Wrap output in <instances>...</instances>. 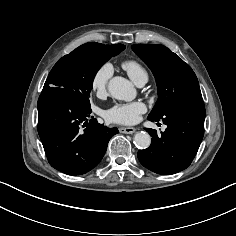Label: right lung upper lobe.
Listing matches in <instances>:
<instances>
[{
  "mask_svg": "<svg viewBox=\"0 0 236 236\" xmlns=\"http://www.w3.org/2000/svg\"><path fill=\"white\" fill-rule=\"evenodd\" d=\"M91 44H99V43H95V42H92V43H86L84 45H91ZM100 45H103V44H100ZM104 46H108L110 48H113L115 50H118V51H123L125 49V46L122 45V44H115V45H104Z\"/></svg>",
  "mask_w": 236,
  "mask_h": 236,
  "instance_id": "obj_1",
  "label": "right lung upper lobe"
}]
</instances>
